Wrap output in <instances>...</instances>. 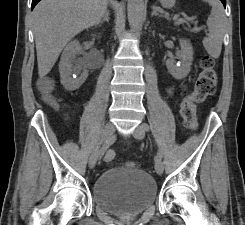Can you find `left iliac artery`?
<instances>
[{"label": "left iliac artery", "instance_id": "obj_1", "mask_svg": "<svg viewBox=\"0 0 245 225\" xmlns=\"http://www.w3.org/2000/svg\"><path fill=\"white\" fill-rule=\"evenodd\" d=\"M142 126H143V128H144L145 131H149L150 130V127H149L148 124L144 123ZM161 158H162L161 151L158 150L157 156L155 157V160H161Z\"/></svg>", "mask_w": 245, "mask_h": 225}]
</instances>
